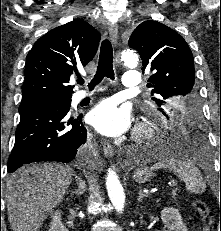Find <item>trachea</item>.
I'll use <instances>...</instances> for the list:
<instances>
[{
	"label": "trachea",
	"mask_w": 221,
	"mask_h": 231,
	"mask_svg": "<svg viewBox=\"0 0 221 231\" xmlns=\"http://www.w3.org/2000/svg\"><path fill=\"white\" fill-rule=\"evenodd\" d=\"M104 77L110 78L112 80L114 79L113 48L111 42L108 39L102 42L97 72L91 83L88 84L89 89L92 90L94 86L99 84ZM77 82L79 84H83L84 80L79 78Z\"/></svg>",
	"instance_id": "3493384b"
}]
</instances>
